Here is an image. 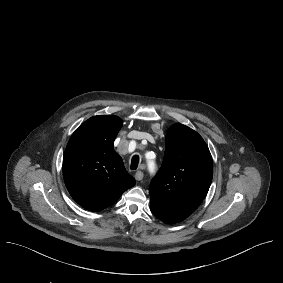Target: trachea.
<instances>
[{"mask_svg":"<svg viewBox=\"0 0 283 283\" xmlns=\"http://www.w3.org/2000/svg\"><path fill=\"white\" fill-rule=\"evenodd\" d=\"M138 164H139V156L138 155H134L131 158V165H130L131 170H136L137 167H138Z\"/></svg>","mask_w":283,"mask_h":283,"instance_id":"trachea-1","label":"trachea"}]
</instances>
